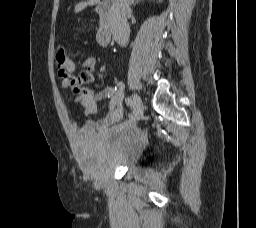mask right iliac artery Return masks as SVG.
<instances>
[{"label": "right iliac artery", "mask_w": 256, "mask_h": 228, "mask_svg": "<svg viewBox=\"0 0 256 228\" xmlns=\"http://www.w3.org/2000/svg\"><path fill=\"white\" fill-rule=\"evenodd\" d=\"M125 102H126V104H127L128 106H130V107H133V106H134V103H133L132 99L129 98V97L125 98Z\"/></svg>", "instance_id": "1"}]
</instances>
